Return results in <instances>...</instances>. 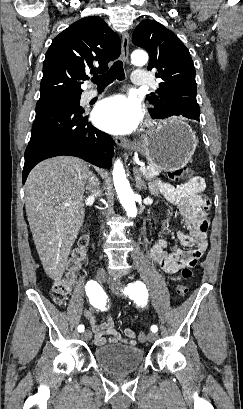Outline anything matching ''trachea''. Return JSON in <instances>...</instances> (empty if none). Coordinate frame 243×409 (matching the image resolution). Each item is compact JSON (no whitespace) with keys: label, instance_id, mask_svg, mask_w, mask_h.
Wrapping results in <instances>:
<instances>
[{"label":"trachea","instance_id":"1","mask_svg":"<svg viewBox=\"0 0 243 409\" xmlns=\"http://www.w3.org/2000/svg\"><path fill=\"white\" fill-rule=\"evenodd\" d=\"M116 79L120 81L125 79L123 63L120 60L116 61L106 73L94 75L91 81L97 84L98 87H105Z\"/></svg>","mask_w":243,"mask_h":409}]
</instances>
